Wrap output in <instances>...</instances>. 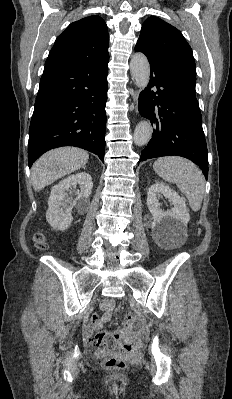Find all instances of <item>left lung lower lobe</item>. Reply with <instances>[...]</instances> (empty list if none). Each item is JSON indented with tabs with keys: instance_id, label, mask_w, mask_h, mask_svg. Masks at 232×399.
<instances>
[{
	"instance_id": "1",
	"label": "left lung lower lobe",
	"mask_w": 232,
	"mask_h": 399,
	"mask_svg": "<svg viewBox=\"0 0 232 399\" xmlns=\"http://www.w3.org/2000/svg\"><path fill=\"white\" fill-rule=\"evenodd\" d=\"M148 60L150 82L139 95V112L150 120L154 130L139 162L161 156H182L198 165L207 180L208 151L198 101L158 63Z\"/></svg>"
}]
</instances>
